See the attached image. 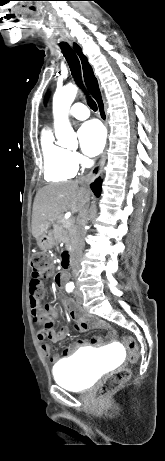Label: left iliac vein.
Returning a JSON list of instances; mask_svg holds the SVG:
<instances>
[{
  "mask_svg": "<svg viewBox=\"0 0 165 461\" xmlns=\"http://www.w3.org/2000/svg\"><path fill=\"white\" fill-rule=\"evenodd\" d=\"M82 302H83L82 294H81V293H78L77 304H78V305H81Z\"/></svg>",
  "mask_w": 165,
  "mask_h": 461,
  "instance_id": "1",
  "label": "left iliac vein"
}]
</instances>
